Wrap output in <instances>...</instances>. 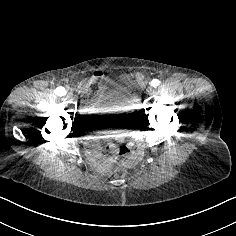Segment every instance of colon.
Listing matches in <instances>:
<instances>
[{
	"mask_svg": "<svg viewBox=\"0 0 236 236\" xmlns=\"http://www.w3.org/2000/svg\"><path fill=\"white\" fill-rule=\"evenodd\" d=\"M126 174H127V170H126L125 167L120 166V167H118V168L115 169V175H116L118 178H123V177L126 176Z\"/></svg>",
	"mask_w": 236,
	"mask_h": 236,
	"instance_id": "obj_1",
	"label": "colon"
}]
</instances>
